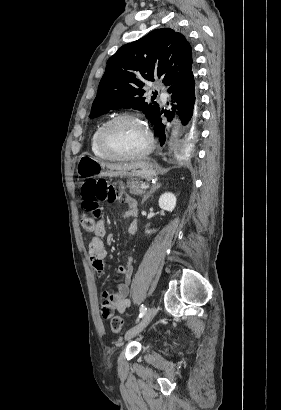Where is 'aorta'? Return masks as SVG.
Instances as JSON below:
<instances>
[{
  "label": "aorta",
  "mask_w": 281,
  "mask_h": 410,
  "mask_svg": "<svg viewBox=\"0 0 281 410\" xmlns=\"http://www.w3.org/2000/svg\"><path fill=\"white\" fill-rule=\"evenodd\" d=\"M178 125H179V120L176 119V120H175L174 129L172 130V133H171V139H172V140H173V139H176L177 136H178V133H179Z\"/></svg>",
  "instance_id": "aorta-1"
}]
</instances>
